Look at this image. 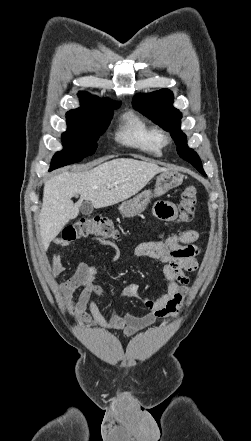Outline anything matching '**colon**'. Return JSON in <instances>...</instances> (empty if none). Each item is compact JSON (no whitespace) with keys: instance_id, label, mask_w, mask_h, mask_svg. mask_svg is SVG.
Instances as JSON below:
<instances>
[{"instance_id":"5ec220e1","label":"colon","mask_w":251,"mask_h":441,"mask_svg":"<svg viewBox=\"0 0 251 441\" xmlns=\"http://www.w3.org/2000/svg\"><path fill=\"white\" fill-rule=\"evenodd\" d=\"M197 200L195 186L186 187L178 204V221L188 222L193 218ZM118 231L114 224L105 217L83 218L67 226L63 232V240L72 242L82 238L98 237L103 240L116 239Z\"/></svg>"}]
</instances>
